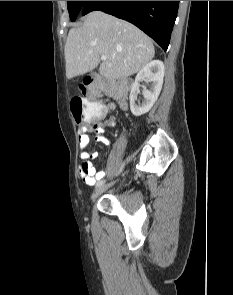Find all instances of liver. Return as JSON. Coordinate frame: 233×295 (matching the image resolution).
<instances>
[{"instance_id": "liver-1", "label": "liver", "mask_w": 233, "mask_h": 295, "mask_svg": "<svg viewBox=\"0 0 233 295\" xmlns=\"http://www.w3.org/2000/svg\"><path fill=\"white\" fill-rule=\"evenodd\" d=\"M151 39L133 24L101 11L89 13L79 28L69 31L65 44L66 76L71 79L99 67L106 79L127 78L154 57Z\"/></svg>"}]
</instances>
